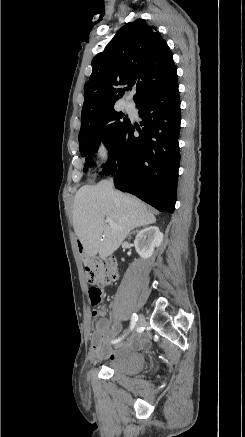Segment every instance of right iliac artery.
Masks as SVG:
<instances>
[{"label":"right iliac artery","mask_w":245,"mask_h":437,"mask_svg":"<svg viewBox=\"0 0 245 437\" xmlns=\"http://www.w3.org/2000/svg\"><path fill=\"white\" fill-rule=\"evenodd\" d=\"M137 319H138L137 315H136L135 313L132 314V317H131V325H130L129 332L132 331V330L134 329V327H135V325H136V322H137ZM124 337H125V335H123L122 337H120V338H118V339H116V340H112L111 343L115 344V343L119 342L121 339H123Z\"/></svg>","instance_id":"right-iliac-artery-1"}]
</instances>
